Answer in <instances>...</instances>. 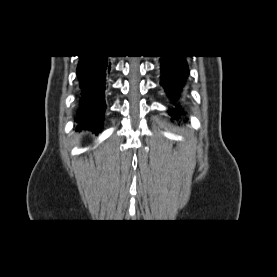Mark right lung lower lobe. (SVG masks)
<instances>
[{
    "label": "right lung lower lobe",
    "instance_id": "obj_1",
    "mask_svg": "<svg viewBox=\"0 0 277 277\" xmlns=\"http://www.w3.org/2000/svg\"><path fill=\"white\" fill-rule=\"evenodd\" d=\"M77 76L80 84V108L75 121L78 128L101 131L105 112V85L111 69L108 56H79Z\"/></svg>",
    "mask_w": 277,
    "mask_h": 277
}]
</instances>
